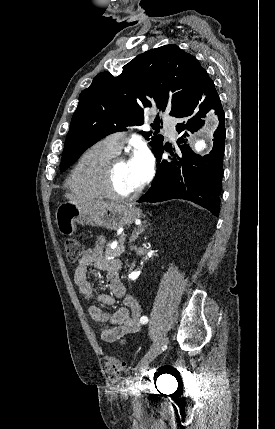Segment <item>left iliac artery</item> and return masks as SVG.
<instances>
[{
	"label": "left iliac artery",
	"mask_w": 275,
	"mask_h": 429,
	"mask_svg": "<svg viewBox=\"0 0 275 429\" xmlns=\"http://www.w3.org/2000/svg\"><path fill=\"white\" fill-rule=\"evenodd\" d=\"M140 322H141V324H146L148 322V317L147 316H142L140 318Z\"/></svg>",
	"instance_id": "obj_1"
}]
</instances>
